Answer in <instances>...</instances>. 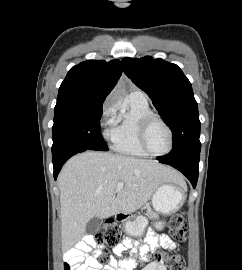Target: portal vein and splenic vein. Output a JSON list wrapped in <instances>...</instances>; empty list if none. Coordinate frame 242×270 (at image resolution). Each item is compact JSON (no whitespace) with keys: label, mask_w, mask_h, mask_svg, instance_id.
Returning <instances> with one entry per match:
<instances>
[{"label":"portal vein and splenic vein","mask_w":242,"mask_h":270,"mask_svg":"<svg viewBox=\"0 0 242 270\" xmlns=\"http://www.w3.org/2000/svg\"><path fill=\"white\" fill-rule=\"evenodd\" d=\"M124 188V183L123 182H119L116 186V192L121 191Z\"/></svg>","instance_id":"obj_1"}]
</instances>
